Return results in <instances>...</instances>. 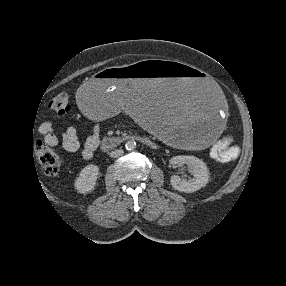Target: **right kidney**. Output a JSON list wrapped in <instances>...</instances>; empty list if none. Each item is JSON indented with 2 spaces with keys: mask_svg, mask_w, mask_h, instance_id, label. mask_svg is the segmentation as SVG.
Listing matches in <instances>:
<instances>
[{
  "mask_svg": "<svg viewBox=\"0 0 286 286\" xmlns=\"http://www.w3.org/2000/svg\"><path fill=\"white\" fill-rule=\"evenodd\" d=\"M99 175V168L94 164L85 166L75 180V188L79 193H88L94 190Z\"/></svg>",
  "mask_w": 286,
  "mask_h": 286,
  "instance_id": "obj_1",
  "label": "right kidney"
}]
</instances>
